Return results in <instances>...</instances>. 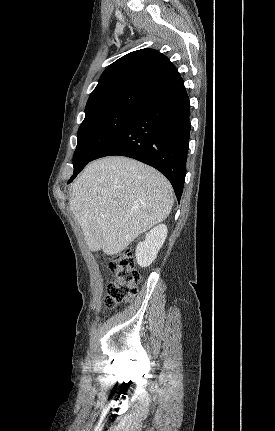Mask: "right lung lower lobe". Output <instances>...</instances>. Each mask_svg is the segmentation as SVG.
<instances>
[{
  "label": "right lung lower lobe",
  "mask_w": 275,
  "mask_h": 431,
  "mask_svg": "<svg viewBox=\"0 0 275 431\" xmlns=\"http://www.w3.org/2000/svg\"><path fill=\"white\" fill-rule=\"evenodd\" d=\"M190 130V103L182 82L137 109L91 161L120 155L146 163L169 179L179 201L186 175Z\"/></svg>",
  "instance_id": "obj_1"
}]
</instances>
